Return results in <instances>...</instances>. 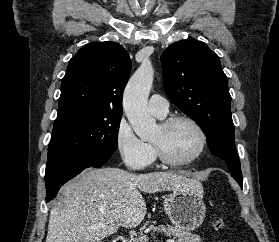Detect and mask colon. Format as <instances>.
Segmentation results:
<instances>
[{
  "label": "colon",
  "instance_id": "obj_1",
  "mask_svg": "<svg viewBox=\"0 0 279 242\" xmlns=\"http://www.w3.org/2000/svg\"><path fill=\"white\" fill-rule=\"evenodd\" d=\"M213 226L217 231H223L226 228V223L222 218H217L213 222ZM101 242H108V241H101Z\"/></svg>",
  "mask_w": 279,
  "mask_h": 242
}]
</instances>
